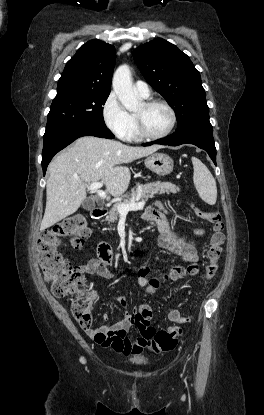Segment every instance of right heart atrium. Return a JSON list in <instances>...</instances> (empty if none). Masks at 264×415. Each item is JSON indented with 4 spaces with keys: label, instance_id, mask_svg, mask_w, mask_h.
I'll list each match as a JSON object with an SVG mask.
<instances>
[{
    "label": "right heart atrium",
    "instance_id": "d8ad5b80",
    "mask_svg": "<svg viewBox=\"0 0 264 415\" xmlns=\"http://www.w3.org/2000/svg\"><path fill=\"white\" fill-rule=\"evenodd\" d=\"M102 115L107 127L117 137L125 139L128 136L132 128V118L114 92L104 101Z\"/></svg>",
    "mask_w": 264,
    "mask_h": 415
}]
</instances>
